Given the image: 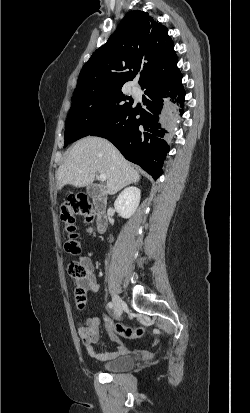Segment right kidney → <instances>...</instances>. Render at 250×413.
<instances>
[{"mask_svg": "<svg viewBox=\"0 0 250 413\" xmlns=\"http://www.w3.org/2000/svg\"><path fill=\"white\" fill-rule=\"evenodd\" d=\"M140 197V189L136 187L126 188L115 200V210L121 217L125 219L130 218L139 206Z\"/></svg>", "mask_w": 250, "mask_h": 413, "instance_id": "1", "label": "right kidney"}]
</instances>
